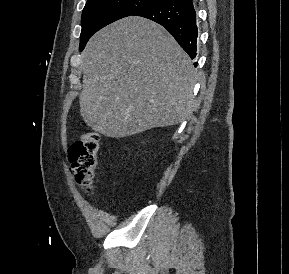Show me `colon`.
Returning <instances> with one entry per match:
<instances>
[{"label":"colon","instance_id":"colon-1","mask_svg":"<svg viewBox=\"0 0 289 274\" xmlns=\"http://www.w3.org/2000/svg\"><path fill=\"white\" fill-rule=\"evenodd\" d=\"M100 138L96 132L84 133L69 148V160L78 185L90 192L93 185Z\"/></svg>","mask_w":289,"mask_h":274}]
</instances>
